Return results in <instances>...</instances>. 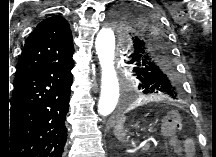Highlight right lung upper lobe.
I'll return each instance as SVG.
<instances>
[{
	"label": "right lung upper lobe",
	"mask_w": 216,
	"mask_h": 157,
	"mask_svg": "<svg viewBox=\"0 0 216 157\" xmlns=\"http://www.w3.org/2000/svg\"><path fill=\"white\" fill-rule=\"evenodd\" d=\"M73 52L69 23L60 15L43 20L25 42L14 83L52 62L71 57Z\"/></svg>",
	"instance_id": "cb5924a9"
}]
</instances>
